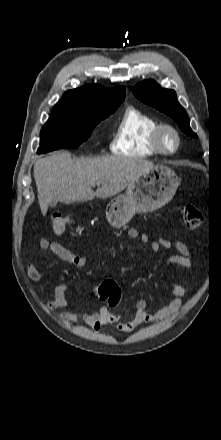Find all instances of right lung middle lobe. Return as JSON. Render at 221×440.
I'll use <instances>...</instances> for the list:
<instances>
[{
  "instance_id": "obj_1",
  "label": "right lung middle lobe",
  "mask_w": 221,
  "mask_h": 440,
  "mask_svg": "<svg viewBox=\"0 0 221 440\" xmlns=\"http://www.w3.org/2000/svg\"><path fill=\"white\" fill-rule=\"evenodd\" d=\"M117 108L118 106L75 109L54 106L50 118L41 130V147L37 153L79 146L90 137L96 124Z\"/></svg>"
}]
</instances>
